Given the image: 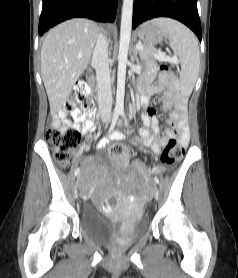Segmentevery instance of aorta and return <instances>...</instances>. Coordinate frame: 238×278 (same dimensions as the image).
Segmentation results:
<instances>
[{
    "mask_svg": "<svg viewBox=\"0 0 238 278\" xmlns=\"http://www.w3.org/2000/svg\"><path fill=\"white\" fill-rule=\"evenodd\" d=\"M133 3L134 0H123L118 54L117 92L115 105L116 114L123 113L124 111L126 65L128 62L127 56L131 39Z\"/></svg>",
    "mask_w": 238,
    "mask_h": 278,
    "instance_id": "obj_1",
    "label": "aorta"
}]
</instances>
